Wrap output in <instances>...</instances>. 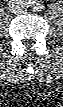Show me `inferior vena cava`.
Masks as SVG:
<instances>
[{"mask_svg":"<svg viewBox=\"0 0 63 107\" xmlns=\"http://www.w3.org/2000/svg\"><path fill=\"white\" fill-rule=\"evenodd\" d=\"M15 11H17L19 13H23L26 11V8L21 5H18L17 8L15 9Z\"/></svg>","mask_w":63,"mask_h":107,"instance_id":"1","label":"inferior vena cava"}]
</instances>
